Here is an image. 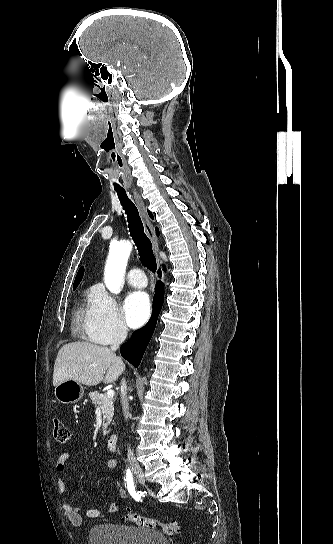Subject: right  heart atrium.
Masks as SVG:
<instances>
[{"mask_svg":"<svg viewBox=\"0 0 333 544\" xmlns=\"http://www.w3.org/2000/svg\"><path fill=\"white\" fill-rule=\"evenodd\" d=\"M81 327L90 341L100 345L121 342L128 333L117 300L101 288L92 291Z\"/></svg>","mask_w":333,"mask_h":544,"instance_id":"d8ad5b80","label":"right heart atrium"}]
</instances>
